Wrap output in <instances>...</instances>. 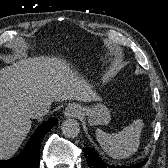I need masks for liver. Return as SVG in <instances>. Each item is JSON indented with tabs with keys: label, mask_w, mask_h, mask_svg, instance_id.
<instances>
[{
	"label": "liver",
	"mask_w": 168,
	"mask_h": 168,
	"mask_svg": "<svg viewBox=\"0 0 168 168\" xmlns=\"http://www.w3.org/2000/svg\"><path fill=\"white\" fill-rule=\"evenodd\" d=\"M65 60L21 59L0 69V160L14 155L31 129L29 112L40 103L99 100Z\"/></svg>",
	"instance_id": "6515ba94"
}]
</instances>
